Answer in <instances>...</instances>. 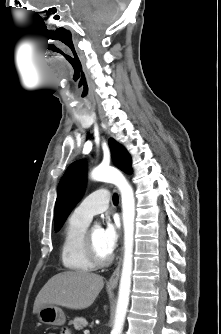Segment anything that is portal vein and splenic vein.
I'll list each match as a JSON object with an SVG mask.
<instances>
[{"mask_svg": "<svg viewBox=\"0 0 221 334\" xmlns=\"http://www.w3.org/2000/svg\"><path fill=\"white\" fill-rule=\"evenodd\" d=\"M84 334H89V330H85V331H84Z\"/></svg>", "mask_w": 221, "mask_h": 334, "instance_id": "portal-vein-and-splenic-vein-1", "label": "portal vein and splenic vein"}]
</instances>
